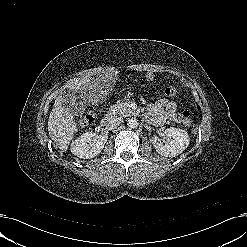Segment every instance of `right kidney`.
I'll use <instances>...</instances> for the list:
<instances>
[{
  "mask_svg": "<svg viewBox=\"0 0 247 247\" xmlns=\"http://www.w3.org/2000/svg\"><path fill=\"white\" fill-rule=\"evenodd\" d=\"M108 139L107 135L96 136L92 132L82 134L71 143V152L82 159H90L98 155Z\"/></svg>",
  "mask_w": 247,
  "mask_h": 247,
  "instance_id": "ca27d5eb",
  "label": "right kidney"
}]
</instances>
